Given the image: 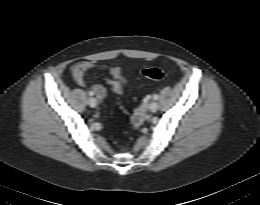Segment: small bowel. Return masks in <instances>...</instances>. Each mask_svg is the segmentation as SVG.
Wrapping results in <instances>:
<instances>
[{
    "mask_svg": "<svg viewBox=\"0 0 260 205\" xmlns=\"http://www.w3.org/2000/svg\"><path fill=\"white\" fill-rule=\"evenodd\" d=\"M95 68V65L87 61H79L71 67V76L73 80L80 86H86V73ZM105 68V67H103ZM109 72L111 79L109 84L116 95L123 94V85L126 83L127 79L119 67H110ZM90 91L93 92L98 99H103L105 97L106 91L105 88L100 85H93L90 87Z\"/></svg>",
    "mask_w": 260,
    "mask_h": 205,
    "instance_id": "c3829d8e",
    "label": "small bowel"
}]
</instances>
